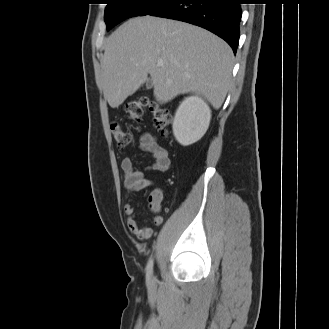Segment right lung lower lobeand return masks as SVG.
Segmentation results:
<instances>
[{
	"label": "right lung lower lobe",
	"mask_w": 329,
	"mask_h": 329,
	"mask_svg": "<svg viewBox=\"0 0 329 329\" xmlns=\"http://www.w3.org/2000/svg\"><path fill=\"white\" fill-rule=\"evenodd\" d=\"M149 15L205 28L224 39L236 53L242 15L240 0H172Z\"/></svg>",
	"instance_id": "98d812e1"
}]
</instances>
